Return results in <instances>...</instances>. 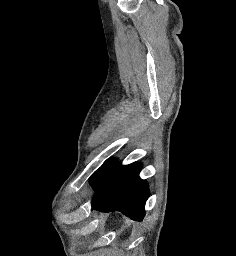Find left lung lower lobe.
<instances>
[{"instance_id": "1", "label": "left lung lower lobe", "mask_w": 236, "mask_h": 256, "mask_svg": "<svg viewBox=\"0 0 236 256\" xmlns=\"http://www.w3.org/2000/svg\"><path fill=\"white\" fill-rule=\"evenodd\" d=\"M142 166L116 163L105 181L94 191L92 209L102 212L120 211L133 220L144 218V205L149 197L146 181L140 179Z\"/></svg>"}]
</instances>
